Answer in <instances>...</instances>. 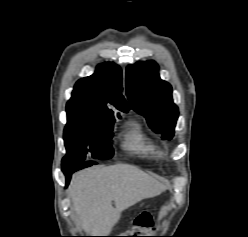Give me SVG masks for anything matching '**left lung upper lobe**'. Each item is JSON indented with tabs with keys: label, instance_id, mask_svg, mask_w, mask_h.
<instances>
[{
	"label": "left lung upper lobe",
	"instance_id": "obj_1",
	"mask_svg": "<svg viewBox=\"0 0 248 237\" xmlns=\"http://www.w3.org/2000/svg\"><path fill=\"white\" fill-rule=\"evenodd\" d=\"M126 91L132 108L142 114L150 128L170 140L178 119L172 87L160 79L154 61L138 62L126 70Z\"/></svg>",
	"mask_w": 248,
	"mask_h": 237
}]
</instances>
